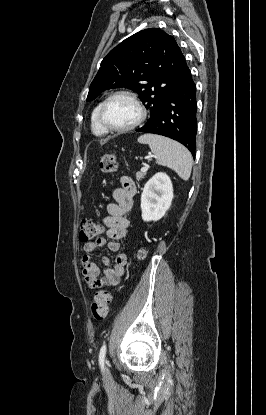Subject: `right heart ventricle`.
I'll list each match as a JSON object with an SVG mask.
<instances>
[{
    "label": "right heart ventricle",
    "instance_id": "e07e8e85",
    "mask_svg": "<svg viewBox=\"0 0 266 415\" xmlns=\"http://www.w3.org/2000/svg\"><path fill=\"white\" fill-rule=\"evenodd\" d=\"M102 102H99L91 113V131L96 136H103L107 134V131L102 127L99 121V111Z\"/></svg>",
    "mask_w": 266,
    "mask_h": 415
}]
</instances>
